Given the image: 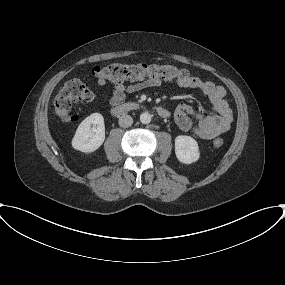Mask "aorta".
<instances>
[{
    "label": "aorta",
    "mask_w": 285,
    "mask_h": 285,
    "mask_svg": "<svg viewBox=\"0 0 285 285\" xmlns=\"http://www.w3.org/2000/svg\"><path fill=\"white\" fill-rule=\"evenodd\" d=\"M151 118H152V116H151L150 113L144 112V113H142V114L140 115V122H141L142 124H148V123H150Z\"/></svg>",
    "instance_id": "obj_1"
}]
</instances>
